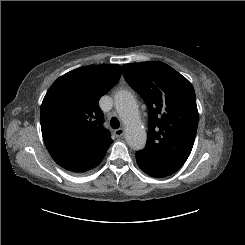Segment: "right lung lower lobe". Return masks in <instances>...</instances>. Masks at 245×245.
I'll return each instance as SVG.
<instances>
[{
    "label": "right lung lower lobe",
    "instance_id": "98d812e1",
    "mask_svg": "<svg viewBox=\"0 0 245 245\" xmlns=\"http://www.w3.org/2000/svg\"><path fill=\"white\" fill-rule=\"evenodd\" d=\"M104 156H105V153L102 154V155H101V156L94 162L93 165H91L89 168H87V169L84 170L83 172L88 171V170H90V169L96 167V166L103 160Z\"/></svg>",
    "mask_w": 245,
    "mask_h": 245
}]
</instances>
